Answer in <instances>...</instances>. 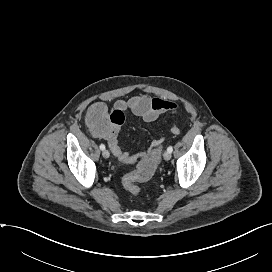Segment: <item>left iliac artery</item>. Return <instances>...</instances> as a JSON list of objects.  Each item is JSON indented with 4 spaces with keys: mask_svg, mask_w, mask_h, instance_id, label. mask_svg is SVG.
Wrapping results in <instances>:
<instances>
[{
    "mask_svg": "<svg viewBox=\"0 0 272 272\" xmlns=\"http://www.w3.org/2000/svg\"><path fill=\"white\" fill-rule=\"evenodd\" d=\"M167 151L171 153V152L173 151V147H172V146H169V147L167 148Z\"/></svg>",
    "mask_w": 272,
    "mask_h": 272,
    "instance_id": "left-iliac-artery-1",
    "label": "left iliac artery"
}]
</instances>
